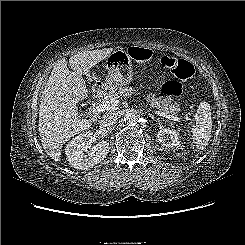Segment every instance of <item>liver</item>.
<instances>
[{"label":"liver","instance_id":"6515ba94","mask_svg":"<svg viewBox=\"0 0 245 245\" xmlns=\"http://www.w3.org/2000/svg\"><path fill=\"white\" fill-rule=\"evenodd\" d=\"M112 48L84 51L66 60L56 61L40 99L38 131L42 146L55 161L60 160L63 144L75 135L89 129L92 119H82L77 103L89 91L82 77L97 63L106 59Z\"/></svg>","mask_w":245,"mask_h":245}]
</instances>
